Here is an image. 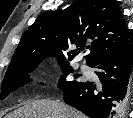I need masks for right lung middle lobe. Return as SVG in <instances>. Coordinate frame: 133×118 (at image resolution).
I'll return each mask as SVG.
<instances>
[{
    "label": "right lung middle lobe",
    "mask_w": 133,
    "mask_h": 118,
    "mask_svg": "<svg viewBox=\"0 0 133 118\" xmlns=\"http://www.w3.org/2000/svg\"><path fill=\"white\" fill-rule=\"evenodd\" d=\"M41 60L34 61L29 64H24L17 67H12L7 69L5 77L2 82L1 86V100H3L7 95H9L12 91L17 90L19 87L27 84L31 79L29 78L28 73L32 72ZM60 65L63 71V75L59 80L58 88L62 91L70 88L72 86H76L81 83V81H68L66 78L68 77L69 73H73V69L69 66V63L66 61H60ZM77 78V75H74ZM44 85V83H42Z\"/></svg>",
    "instance_id": "obj_1"
}]
</instances>
